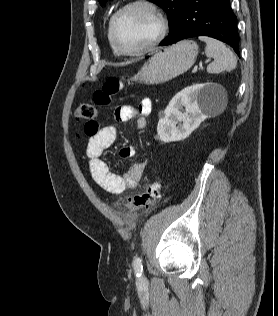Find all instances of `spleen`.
Returning a JSON list of instances; mask_svg holds the SVG:
<instances>
[{"mask_svg": "<svg viewBox=\"0 0 278 316\" xmlns=\"http://www.w3.org/2000/svg\"><path fill=\"white\" fill-rule=\"evenodd\" d=\"M199 40L206 43V56L214 59V61L207 66L209 73L231 71L236 68V57L224 43L207 36H200Z\"/></svg>", "mask_w": 278, "mask_h": 316, "instance_id": "spleen-1", "label": "spleen"}]
</instances>
